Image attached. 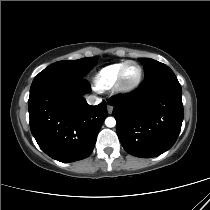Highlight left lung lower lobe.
<instances>
[{
    "mask_svg": "<svg viewBox=\"0 0 210 210\" xmlns=\"http://www.w3.org/2000/svg\"><path fill=\"white\" fill-rule=\"evenodd\" d=\"M114 106L123 148L136 157H156L176 142L183 121L182 90L168 67L146 78L137 91L108 101Z\"/></svg>",
    "mask_w": 210,
    "mask_h": 210,
    "instance_id": "0a47b994",
    "label": "left lung lower lobe"
}]
</instances>
